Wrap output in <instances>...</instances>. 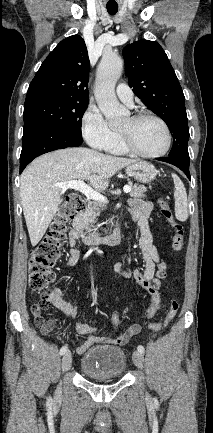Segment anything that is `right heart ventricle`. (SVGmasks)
I'll return each instance as SVG.
<instances>
[{
	"label": "right heart ventricle",
	"mask_w": 213,
	"mask_h": 433,
	"mask_svg": "<svg viewBox=\"0 0 213 433\" xmlns=\"http://www.w3.org/2000/svg\"><path fill=\"white\" fill-rule=\"evenodd\" d=\"M105 150L116 155H123L127 153L123 148L117 133H115L114 139Z\"/></svg>",
	"instance_id": "e07e8e85"
}]
</instances>
